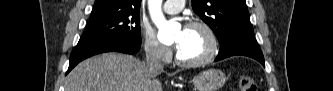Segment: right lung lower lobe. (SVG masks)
I'll list each match as a JSON object with an SVG mask.
<instances>
[{
	"mask_svg": "<svg viewBox=\"0 0 333 91\" xmlns=\"http://www.w3.org/2000/svg\"><path fill=\"white\" fill-rule=\"evenodd\" d=\"M140 49V44L131 43L118 37H81L71 53L68 74L79 62L96 54L105 52H121L134 54Z\"/></svg>",
	"mask_w": 333,
	"mask_h": 91,
	"instance_id": "98d812e1",
	"label": "right lung lower lobe"
}]
</instances>
